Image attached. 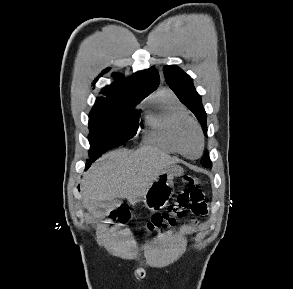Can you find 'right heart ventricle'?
<instances>
[{
    "label": "right heart ventricle",
    "mask_w": 293,
    "mask_h": 289,
    "mask_svg": "<svg viewBox=\"0 0 293 289\" xmlns=\"http://www.w3.org/2000/svg\"><path fill=\"white\" fill-rule=\"evenodd\" d=\"M145 143L169 153H178L173 141L175 126L189 117L186 108L169 89H160L144 102Z\"/></svg>",
    "instance_id": "obj_1"
}]
</instances>
